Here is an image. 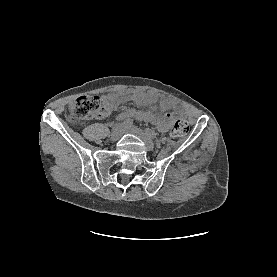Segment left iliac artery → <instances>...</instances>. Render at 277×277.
<instances>
[{
	"label": "left iliac artery",
	"mask_w": 277,
	"mask_h": 277,
	"mask_svg": "<svg viewBox=\"0 0 277 277\" xmlns=\"http://www.w3.org/2000/svg\"><path fill=\"white\" fill-rule=\"evenodd\" d=\"M145 132L149 137H151L153 139L157 137V133L152 129L146 128Z\"/></svg>",
	"instance_id": "1"
}]
</instances>
